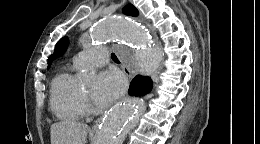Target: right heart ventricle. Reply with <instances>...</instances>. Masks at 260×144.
Listing matches in <instances>:
<instances>
[{"label": "right heart ventricle", "mask_w": 260, "mask_h": 144, "mask_svg": "<svg viewBox=\"0 0 260 144\" xmlns=\"http://www.w3.org/2000/svg\"><path fill=\"white\" fill-rule=\"evenodd\" d=\"M79 68L74 62L63 68L51 84L50 105L54 114L62 120H78L85 111L83 92L74 77Z\"/></svg>", "instance_id": "1"}]
</instances>
